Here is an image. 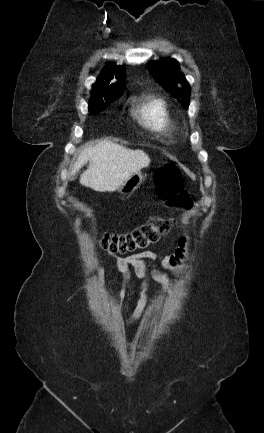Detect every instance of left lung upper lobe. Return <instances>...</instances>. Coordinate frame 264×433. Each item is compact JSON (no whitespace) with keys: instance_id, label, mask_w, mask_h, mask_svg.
<instances>
[{"instance_id":"left-lung-upper-lobe-1","label":"left lung upper lobe","mask_w":264,"mask_h":433,"mask_svg":"<svg viewBox=\"0 0 264 433\" xmlns=\"http://www.w3.org/2000/svg\"><path fill=\"white\" fill-rule=\"evenodd\" d=\"M179 68L178 62L171 58L147 64V69L153 78L183 106L188 107L191 88Z\"/></svg>"}]
</instances>
